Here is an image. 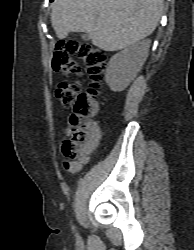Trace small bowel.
<instances>
[{
  "label": "small bowel",
  "instance_id": "c3829d8e",
  "mask_svg": "<svg viewBox=\"0 0 194 250\" xmlns=\"http://www.w3.org/2000/svg\"><path fill=\"white\" fill-rule=\"evenodd\" d=\"M87 130L88 138L84 145V156L76 163L65 165V168L72 173L78 172L81 169V167L87 162L88 155L94 150L99 142L101 130L98 123L95 121H89L87 123Z\"/></svg>",
  "mask_w": 194,
  "mask_h": 250
}]
</instances>
